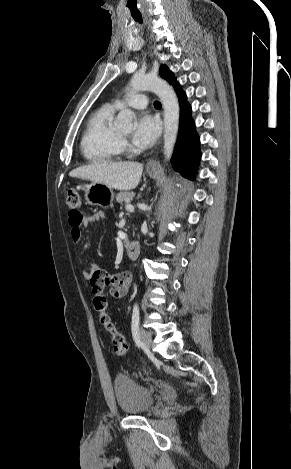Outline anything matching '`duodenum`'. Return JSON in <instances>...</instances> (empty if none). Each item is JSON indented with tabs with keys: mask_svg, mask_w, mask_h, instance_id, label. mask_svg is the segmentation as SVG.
<instances>
[{
	"mask_svg": "<svg viewBox=\"0 0 291 469\" xmlns=\"http://www.w3.org/2000/svg\"><path fill=\"white\" fill-rule=\"evenodd\" d=\"M141 247L138 241H131L126 244V253L130 259H137L140 255Z\"/></svg>",
	"mask_w": 291,
	"mask_h": 469,
	"instance_id": "duodenum-1",
	"label": "duodenum"
}]
</instances>
